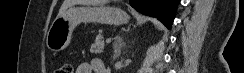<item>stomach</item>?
<instances>
[{
  "label": "stomach",
  "instance_id": "1",
  "mask_svg": "<svg viewBox=\"0 0 244 73\" xmlns=\"http://www.w3.org/2000/svg\"><path fill=\"white\" fill-rule=\"evenodd\" d=\"M128 21V14L116 7L71 6L53 21L47 33L46 45L53 52L64 50L71 41L74 28L81 22L122 25Z\"/></svg>",
  "mask_w": 244,
  "mask_h": 73
}]
</instances>
